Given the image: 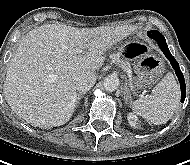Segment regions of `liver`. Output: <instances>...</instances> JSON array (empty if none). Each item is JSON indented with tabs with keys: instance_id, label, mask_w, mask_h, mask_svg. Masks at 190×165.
Listing matches in <instances>:
<instances>
[{
	"instance_id": "liver-1",
	"label": "liver",
	"mask_w": 190,
	"mask_h": 165,
	"mask_svg": "<svg viewBox=\"0 0 190 165\" xmlns=\"http://www.w3.org/2000/svg\"><path fill=\"white\" fill-rule=\"evenodd\" d=\"M134 26L76 28L47 24L29 31L8 63L4 95L26 122L50 129L68 122L76 102V78L99 70L104 54ZM87 50L75 53V49Z\"/></svg>"
}]
</instances>
